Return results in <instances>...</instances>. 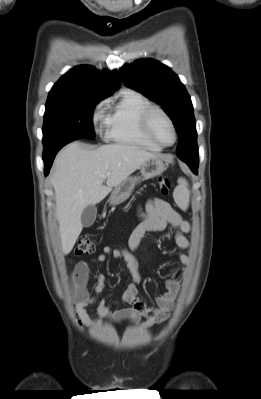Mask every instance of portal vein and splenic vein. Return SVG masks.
<instances>
[{"label":"portal vein and splenic vein","mask_w":261,"mask_h":399,"mask_svg":"<svg viewBox=\"0 0 261 399\" xmlns=\"http://www.w3.org/2000/svg\"><path fill=\"white\" fill-rule=\"evenodd\" d=\"M108 175H109L108 173H107V174H105V175L103 176V178H106Z\"/></svg>","instance_id":"18ae733b"}]
</instances>
